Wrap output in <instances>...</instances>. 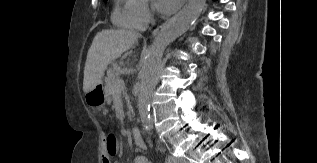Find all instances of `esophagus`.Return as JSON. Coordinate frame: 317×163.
Segmentation results:
<instances>
[{
	"instance_id": "1",
	"label": "esophagus",
	"mask_w": 317,
	"mask_h": 163,
	"mask_svg": "<svg viewBox=\"0 0 317 163\" xmlns=\"http://www.w3.org/2000/svg\"><path fill=\"white\" fill-rule=\"evenodd\" d=\"M187 7V4L173 17L159 25L157 28H155L151 34L152 37L159 35L163 30H165L171 23H173L185 10Z\"/></svg>"
}]
</instances>
